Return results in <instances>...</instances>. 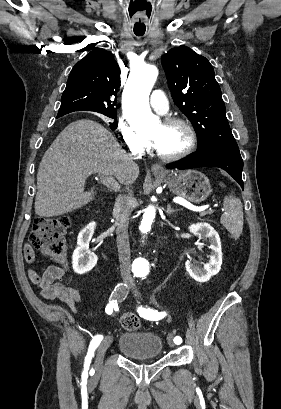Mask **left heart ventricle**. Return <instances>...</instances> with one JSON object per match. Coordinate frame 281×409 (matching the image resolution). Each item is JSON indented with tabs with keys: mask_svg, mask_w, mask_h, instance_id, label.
I'll return each mask as SVG.
<instances>
[{
	"mask_svg": "<svg viewBox=\"0 0 281 409\" xmlns=\"http://www.w3.org/2000/svg\"><path fill=\"white\" fill-rule=\"evenodd\" d=\"M146 139L164 154H175L181 151L188 142L187 132L181 125L164 126L161 122L149 131Z\"/></svg>",
	"mask_w": 281,
	"mask_h": 409,
	"instance_id": "left-heart-ventricle-1",
	"label": "left heart ventricle"
}]
</instances>
